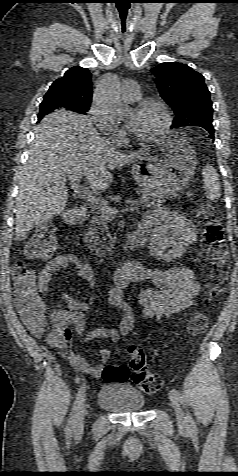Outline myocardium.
Returning <instances> with one entry per match:
<instances>
[{
  "label": "myocardium",
  "instance_id": "obj_1",
  "mask_svg": "<svg viewBox=\"0 0 238 476\" xmlns=\"http://www.w3.org/2000/svg\"><path fill=\"white\" fill-rule=\"evenodd\" d=\"M149 106L159 108L163 113L164 120H163V123L161 124V126L158 129H156L155 131H153L152 133H150L146 136H139V135L135 134L134 132H132L133 137L137 141H140V142L152 141V140L156 139L157 137H160V136L164 135L169 130V128L172 124V121H173V115H172L171 109L169 108V106L165 102L160 101V100L147 99V100L141 101L136 105L135 110L139 111V110L144 109V108L149 107Z\"/></svg>",
  "mask_w": 238,
  "mask_h": 476
}]
</instances>
